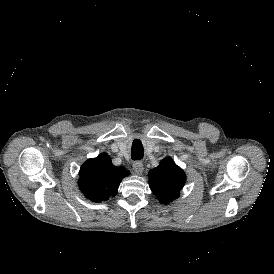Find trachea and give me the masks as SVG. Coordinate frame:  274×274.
<instances>
[{
	"instance_id": "3493384b",
	"label": "trachea",
	"mask_w": 274,
	"mask_h": 274,
	"mask_svg": "<svg viewBox=\"0 0 274 274\" xmlns=\"http://www.w3.org/2000/svg\"><path fill=\"white\" fill-rule=\"evenodd\" d=\"M131 155L132 159L135 160H141L144 156V148L142 146V143H133L132 149H131Z\"/></svg>"
}]
</instances>
